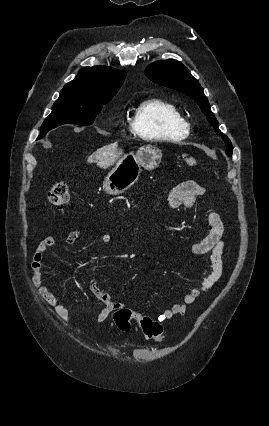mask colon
Wrapping results in <instances>:
<instances>
[{"mask_svg": "<svg viewBox=\"0 0 269 426\" xmlns=\"http://www.w3.org/2000/svg\"><path fill=\"white\" fill-rule=\"evenodd\" d=\"M183 160L189 167L197 166V159L190 155H184ZM50 202L57 208L63 207L70 200V193L68 187L64 181L56 182L48 193ZM135 313L125 307L116 309L114 313V322L116 326L122 331H128L131 328V322L134 319ZM138 323L144 333V335L153 341L160 342L163 340V327L162 325L149 318L148 316H142Z\"/></svg>", "mask_w": 269, "mask_h": 426, "instance_id": "colon-1", "label": "colon"}]
</instances>
